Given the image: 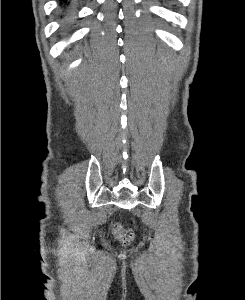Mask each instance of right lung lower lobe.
<instances>
[{
  "mask_svg": "<svg viewBox=\"0 0 245 300\" xmlns=\"http://www.w3.org/2000/svg\"><path fill=\"white\" fill-rule=\"evenodd\" d=\"M63 1H65V5H64V9H65V13H66V11H67V6H68V2H67V0H63Z\"/></svg>",
  "mask_w": 245,
  "mask_h": 300,
  "instance_id": "98d812e1",
  "label": "right lung lower lobe"
}]
</instances>
